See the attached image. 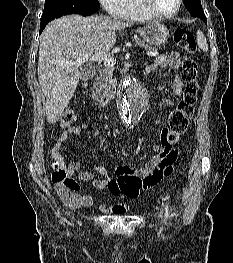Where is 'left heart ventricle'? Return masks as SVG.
<instances>
[{
  "label": "left heart ventricle",
  "mask_w": 233,
  "mask_h": 263,
  "mask_svg": "<svg viewBox=\"0 0 233 263\" xmlns=\"http://www.w3.org/2000/svg\"><path fill=\"white\" fill-rule=\"evenodd\" d=\"M152 6L160 13L168 14L175 10L177 0H150Z\"/></svg>",
  "instance_id": "b2bd125f"
}]
</instances>
